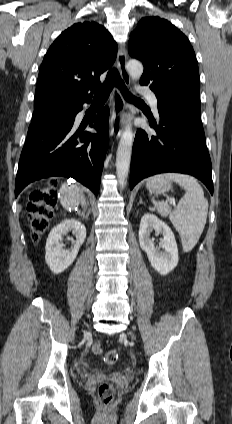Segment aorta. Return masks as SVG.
I'll use <instances>...</instances> for the list:
<instances>
[{
	"label": "aorta",
	"instance_id": "1",
	"mask_svg": "<svg viewBox=\"0 0 232 424\" xmlns=\"http://www.w3.org/2000/svg\"><path fill=\"white\" fill-rule=\"evenodd\" d=\"M127 71L133 80H138L143 73V65L137 60H130L127 63ZM133 145L132 126L129 122L125 126L116 154V173L118 182L121 188H124L127 183V177L130 167L131 154Z\"/></svg>",
	"mask_w": 232,
	"mask_h": 424
}]
</instances>
